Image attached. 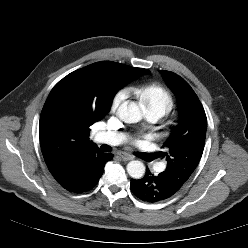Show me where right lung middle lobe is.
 Wrapping results in <instances>:
<instances>
[{"label":"right lung middle lobe","mask_w":248,"mask_h":248,"mask_svg":"<svg viewBox=\"0 0 248 248\" xmlns=\"http://www.w3.org/2000/svg\"><path fill=\"white\" fill-rule=\"evenodd\" d=\"M149 73V70L143 68H134L127 65L119 64L116 75L122 85L129 83L131 80Z\"/></svg>","instance_id":"right-lung-middle-lobe-1"}]
</instances>
